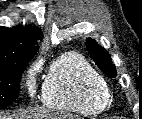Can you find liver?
<instances>
[{"label":"liver","mask_w":142,"mask_h":119,"mask_svg":"<svg viewBox=\"0 0 142 119\" xmlns=\"http://www.w3.org/2000/svg\"><path fill=\"white\" fill-rule=\"evenodd\" d=\"M72 119L71 116L62 115L46 109H28L15 114L14 116L0 112V119Z\"/></svg>","instance_id":"6515ba94"}]
</instances>
